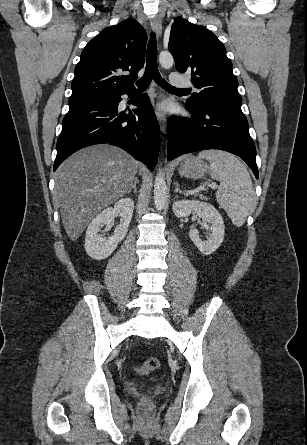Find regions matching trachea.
Here are the masks:
<instances>
[{
	"mask_svg": "<svg viewBox=\"0 0 307 445\" xmlns=\"http://www.w3.org/2000/svg\"><path fill=\"white\" fill-rule=\"evenodd\" d=\"M154 80L160 87L165 90L173 89V90H187V89H176V87H172L170 83H167L164 78L159 73L157 67V42L155 38V33L152 32L150 36V40L148 42L147 53H146V69L144 75L140 80L136 82L137 86L141 89H146L151 81Z\"/></svg>",
	"mask_w": 307,
	"mask_h": 445,
	"instance_id": "3493384b",
	"label": "trachea"
}]
</instances>
